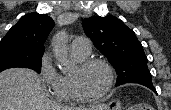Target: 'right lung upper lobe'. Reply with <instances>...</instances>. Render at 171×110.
<instances>
[{
    "instance_id": "obj_1",
    "label": "right lung upper lobe",
    "mask_w": 171,
    "mask_h": 110,
    "mask_svg": "<svg viewBox=\"0 0 171 110\" xmlns=\"http://www.w3.org/2000/svg\"><path fill=\"white\" fill-rule=\"evenodd\" d=\"M53 25L48 15H25L10 28L0 45H15L35 53H44V43Z\"/></svg>"
}]
</instances>
